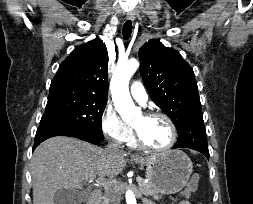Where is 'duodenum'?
<instances>
[{
    "label": "duodenum",
    "mask_w": 253,
    "mask_h": 204,
    "mask_svg": "<svg viewBox=\"0 0 253 204\" xmlns=\"http://www.w3.org/2000/svg\"><path fill=\"white\" fill-rule=\"evenodd\" d=\"M100 197V192L98 190H93L90 194L88 204H97Z\"/></svg>",
    "instance_id": "duodenum-1"
}]
</instances>
